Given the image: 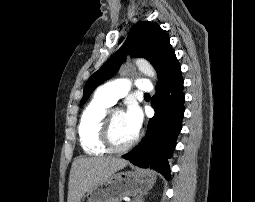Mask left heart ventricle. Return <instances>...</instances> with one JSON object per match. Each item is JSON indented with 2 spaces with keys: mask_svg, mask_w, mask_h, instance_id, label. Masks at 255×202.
<instances>
[{
  "mask_svg": "<svg viewBox=\"0 0 255 202\" xmlns=\"http://www.w3.org/2000/svg\"><path fill=\"white\" fill-rule=\"evenodd\" d=\"M136 134L125 121L124 113L114 111L112 114V138L116 145L122 146L134 138Z\"/></svg>",
  "mask_w": 255,
  "mask_h": 202,
  "instance_id": "1",
  "label": "left heart ventricle"
}]
</instances>
